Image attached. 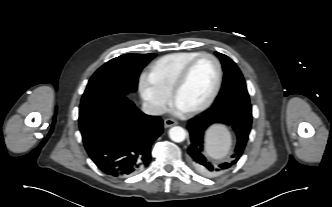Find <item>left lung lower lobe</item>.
<instances>
[{
  "label": "left lung lower lobe",
  "instance_id": "obj_1",
  "mask_svg": "<svg viewBox=\"0 0 332 207\" xmlns=\"http://www.w3.org/2000/svg\"><path fill=\"white\" fill-rule=\"evenodd\" d=\"M214 123L231 126L237 136L234 153L221 163L211 162L204 154V133ZM252 125V106L250 102L230 101L212 106L202 116L188 122L190 133L188 159L190 165L204 176H217L230 169L242 156L247 145Z\"/></svg>",
  "mask_w": 332,
  "mask_h": 207
}]
</instances>
